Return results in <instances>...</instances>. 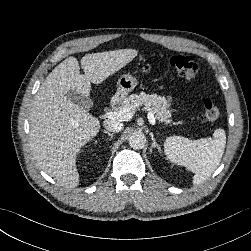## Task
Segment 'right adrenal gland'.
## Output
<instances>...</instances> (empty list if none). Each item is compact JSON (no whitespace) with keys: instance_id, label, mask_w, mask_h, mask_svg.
<instances>
[{"instance_id":"2a0ac1e0","label":"right adrenal gland","mask_w":251,"mask_h":251,"mask_svg":"<svg viewBox=\"0 0 251 251\" xmlns=\"http://www.w3.org/2000/svg\"><path fill=\"white\" fill-rule=\"evenodd\" d=\"M103 132H104L105 134H107L108 136L113 137V133H110V132H108V131H106V130H104Z\"/></svg>"}]
</instances>
